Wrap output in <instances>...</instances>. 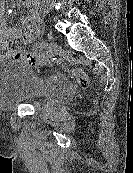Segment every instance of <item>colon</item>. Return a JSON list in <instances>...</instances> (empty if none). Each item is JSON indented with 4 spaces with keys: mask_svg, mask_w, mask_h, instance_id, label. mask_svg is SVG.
<instances>
[{
    "mask_svg": "<svg viewBox=\"0 0 133 173\" xmlns=\"http://www.w3.org/2000/svg\"><path fill=\"white\" fill-rule=\"evenodd\" d=\"M23 44L24 42L21 38H13L9 40L5 45V56L26 63L34 62V56L32 55V53L26 52L24 50ZM72 74L82 87H87L89 85V77L84 72L78 69H74L72 71Z\"/></svg>",
    "mask_w": 133,
    "mask_h": 173,
    "instance_id": "obj_1",
    "label": "colon"
}]
</instances>
